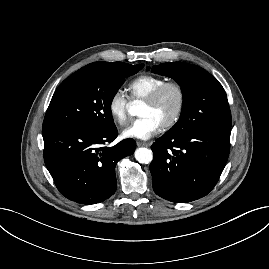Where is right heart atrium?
Returning <instances> with one entry per match:
<instances>
[{
  "instance_id": "obj_1",
  "label": "right heart atrium",
  "mask_w": 269,
  "mask_h": 269,
  "mask_svg": "<svg viewBox=\"0 0 269 269\" xmlns=\"http://www.w3.org/2000/svg\"><path fill=\"white\" fill-rule=\"evenodd\" d=\"M108 111L116 124L124 125L127 122L128 99L122 90L112 93L108 101Z\"/></svg>"
}]
</instances>
